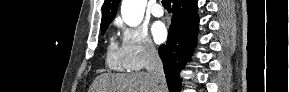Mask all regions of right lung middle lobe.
I'll return each instance as SVG.
<instances>
[{"label": "right lung middle lobe", "mask_w": 289, "mask_h": 92, "mask_svg": "<svg viewBox=\"0 0 289 92\" xmlns=\"http://www.w3.org/2000/svg\"><path fill=\"white\" fill-rule=\"evenodd\" d=\"M109 25H106L104 27H101V34L104 35L106 29L108 28Z\"/></svg>", "instance_id": "dd1d6c3e"}]
</instances>
